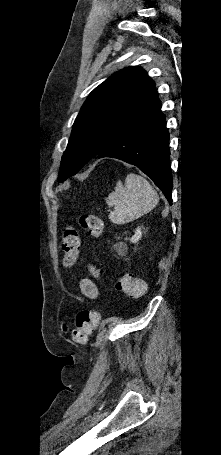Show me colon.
Segmentation results:
<instances>
[{"mask_svg":"<svg viewBox=\"0 0 221 455\" xmlns=\"http://www.w3.org/2000/svg\"><path fill=\"white\" fill-rule=\"evenodd\" d=\"M79 225L92 237H99L103 232L102 219L93 214H82L79 218ZM61 251L65 266H72L76 263L80 252V238L74 226L70 225L64 229L61 238ZM115 288L127 297L137 299L145 295L147 283L142 278L123 275L116 280ZM99 320L100 315L96 311H80L76 317V327L70 333V340L77 344L85 343L88 335L97 327ZM64 329L67 331L66 327Z\"/></svg>","mask_w":221,"mask_h":455,"instance_id":"1","label":"colon"}]
</instances>
